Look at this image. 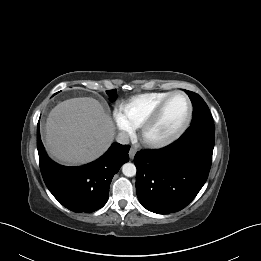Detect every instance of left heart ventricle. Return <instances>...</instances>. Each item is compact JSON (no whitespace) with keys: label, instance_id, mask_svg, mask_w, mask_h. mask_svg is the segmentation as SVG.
Returning a JSON list of instances; mask_svg holds the SVG:
<instances>
[{"label":"left heart ventricle","instance_id":"left-heart-ventricle-1","mask_svg":"<svg viewBox=\"0 0 261 261\" xmlns=\"http://www.w3.org/2000/svg\"><path fill=\"white\" fill-rule=\"evenodd\" d=\"M187 111V102L183 96L172 97L156 125L150 131V136L165 137L175 132L184 123Z\"/></svg>","mask_w":261,"mask_h":261}]
</instances>
